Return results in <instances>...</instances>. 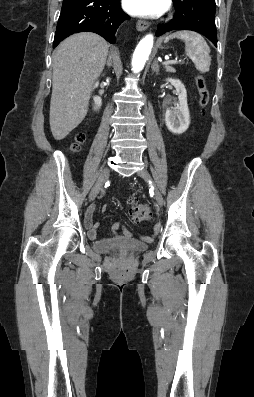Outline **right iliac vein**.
Wrapping results in <instances>:
<instances>
[{"mask_svg": "<svg viewBox=\"0 0 254 397\" xmlns=\"http://www.w3.org/2000/svg\"><path fill=\"white\" fill-rule=\"evenodd\" d=\"M110 174V170L108 168H104L96 182V184L94 185V187L92 188L90 195H89V200L93 201L96 196L98 195V193L100 192V190L102 189L103 185L105 184V182L107 181L108 177Z\"/></svg>", "mask_w": 254, "mask_h": 397, "instance_id": "1", "label": "right iliac vein"}]
</instances>
